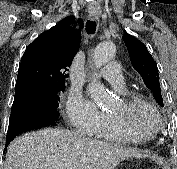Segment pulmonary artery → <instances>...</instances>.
Masks as SVG:
<instances>
[{
  "instance_id": "e3ab8cb5",
  "label": "pulmonary artery",
  "mask_w": 177,
  "mask_h": 169,
  "mask_svg": "<svg viewBox=\"0 0 177 169\" xmlns=\"http://www.w3.org/2000/svg\"><path fill=\"white\" fill-rule=\"evenodd\" d=\"M98 76L113 85L118 91L125 90V80L118 62L112 61L109 65L98 72Z\"/></svg>"
}]
</instances>
